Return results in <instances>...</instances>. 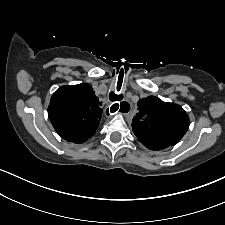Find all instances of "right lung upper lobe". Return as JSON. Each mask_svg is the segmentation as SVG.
<instances>
[{"label":"right lung upper lobe","instance_id":"obj_1","mask_svg":"<svg viewBox=\"0 0 225 225\" xmlns=\"http://www.w3.org/2000/svg\"><path fill=\"white\" fill-rule=\"evenodd\" d=\"M87 83L60 87L51 97L48 116L65 140L83 143L94 135L102 117V104Z\"/></svg>","mask_w":225,"mask_h":225}]
</instances>
